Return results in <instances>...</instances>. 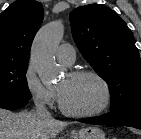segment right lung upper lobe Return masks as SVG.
Instances as JSON below:
<instances>
[{"label":"right lung upper lobe","instance_id":"obj_1","mask_svg":"<svg viewBox=\"0 0 141 139\" xmlns=\"http://www.w3.org/2000/svg\"><path fill=\"white\" fill-rule=\"evenodd\" d=\"M43 21L35 0H18L0 14V60L29 61L32 41Z\"/></svg>","mask_w":141,"mask_h":139}]
</instances>
